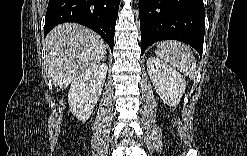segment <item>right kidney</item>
<instances>
[{
    "label": "right kidney",
    "instance_id": "obj_1",
    "mask_svg": "<svg viewBox=\"0 0 247 156\" xmlns=\"http://www.w3.org/2000/svg\"><path fill=\"white\" fill-rule=\"evenodd\" d=\"M108 67L98 63L79 74L72 82L68 93L71 113L82 122L91 116L101 95Z\"/></svg>",
    "mask_w": 247,
    "mask_h": 156
}]
</instances>
